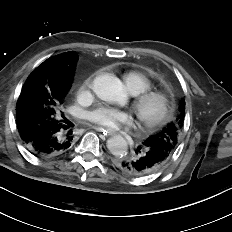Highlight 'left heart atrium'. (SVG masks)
<instances>
[{
    "label": "left heart atrium",
    "instance_id": "39dd6f15",
    "mask_svg": "<svg viewBox=\"0 0 232 232\" xmlns=\"http://www.w3.org/2000/svg\"><path fill=\"white\" fill-rule=\"evenodd\" d=\"M90 122L98 127L107 128L109 130H116L124 125L131 123V116L128 112L110 108L100 107L87 114Z\"/></svg>",
    "mask_w": 232,
    "mask_h": 232
}]
</instances>
